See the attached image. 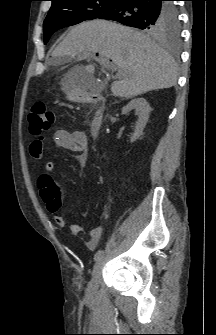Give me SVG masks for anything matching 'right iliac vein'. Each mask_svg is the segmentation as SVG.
<instances>
[{
	"label": "right iliac vein",
	"mask_w": 216,
	"mask_h": 335,
	"mask_svg": "<svg viewBox=\"0 0 216 335\" xmlns=\"http://www.w3.org/2000/svg\"><path fill=\"white\" fill-rule=\"evenodd\" d=\"M105 261H106V256L104 255L94 265V268L92 271V278L86 290L87 297H92L95 294L97 287H98L99 275H100L101 269Z\"/></svg>",
	"instance_id": "right-iliac-vein-1"
}]
</instances>
